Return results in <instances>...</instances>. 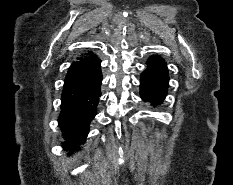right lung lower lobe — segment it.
<instances>
[{
  "mask_svg": "<svg viewBox=\"0 0 233 185\" xmlns=\"http://www.w3.org/2000/svg\"><path fill=\"white\" fill-rule=\"evenodd\" d=\"M100 63L96 58H80L66 75L58 121L69 153L85 142L89 125L97 114L102 83Z\"/></svg>",
  "mask_w": 233,
  "mask_h": 185,
  "instance_id": "obj_1",
  "label": "right lung lower lobe"
}]
</instances>
